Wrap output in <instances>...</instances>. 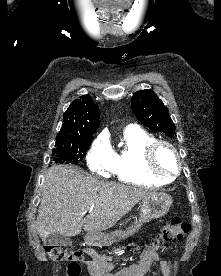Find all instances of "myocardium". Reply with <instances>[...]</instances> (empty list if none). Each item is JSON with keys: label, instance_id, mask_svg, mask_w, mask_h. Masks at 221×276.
I'll list each match as a JSON object with an SVG mask.
<instances>
[{"label": "myocardium", "instance_id": "obj_1", "mask_svg": "<svg viewBox=\"0 0 221 276\" xmlns=\"http://www.w3.org/2000/svg\"><path fill=\"white\" fill-rule=\"evenodd\" d=\"M168 148L174 155L176 159V170L173 172H168L162 170L157 163V154L160 148ZM144 164L146 170L154 177L161 179H173L176 177L182 168L181 157L177 148L170 142L165 140H154L150 142L144 149Z\"/></svg>", "mask_w": 221, "mask_h": 276}]
</instances>
